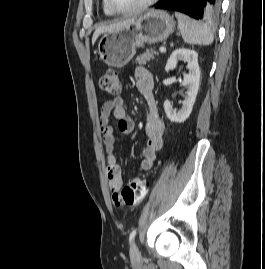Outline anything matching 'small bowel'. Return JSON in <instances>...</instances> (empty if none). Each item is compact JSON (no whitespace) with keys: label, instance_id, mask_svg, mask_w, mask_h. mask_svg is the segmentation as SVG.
<instances>
[{"label":"small bowel","instance_id":"1","mask_svg":"<svg viewBox=\"0 0 265 269\" xmlns=\"http://www.w3.org/2000/svg\"><path fill=\"white\" fill-rule=\"evenodd\" d=\"M136 88L145 99L148 112L145 118L146 141L142 149L141 170H149L156 157L157 151L162 148L165 124L161 117L154 98V80L152 75L144 67L135 70ZM113 115L118 121V128L122 134H129L134 129V122L127 116L125 101L122 97H116L105 101L101 107L99 124L101 127L103 143L107 155V179L113 202L118 203L119 190L122 185L121 169L117 164L116 136L114 128L110 124Z\"/></svg>","mask_w":265,"mask_h":269}]
</instances>
